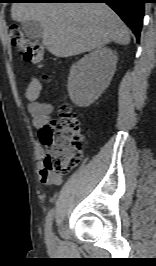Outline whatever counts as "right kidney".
I'll return each mask as SVG.
<instances>
[{
	"label": "right kidney",
	"instance_id": "obj_1",
	"mask_svg": "<svg viewBox=\"0 0 156 266\" xmlns=\"http://www.w3.org/2000/svg\"><path fill=\"white\" fill-rule=\"evenodd\" d=\"M117 63V56L108 47L99 48L72 65L67 89L78 107L90 106L108 87Z\"/></svg>",
	"mask_w": 156,
	"mask_h": 266
}]
</instances>
